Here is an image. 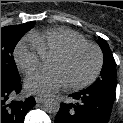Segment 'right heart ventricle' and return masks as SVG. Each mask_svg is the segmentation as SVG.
Returning <instances> with one entry per match:
<instances>
[{
  "label": "right heart ventricle",
  "mask_w": 123,
  "mask_h": 123,
  "mask_svg": "<svg viewBox=\"0 0 123 123\" xmlns=\"http://www.w3.org/2000/svg\"><path fill=\"white\" fill-rule=\"evenodd\" d=\"M29 39L40 49L43 56L54 55L73 44L87 41L82 34L64 27L34 32Z\"/></svg>",
  "instance_id": "obj_1"
}]
</instances>
